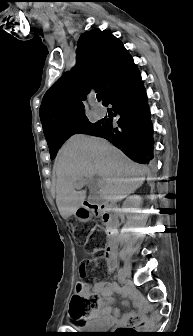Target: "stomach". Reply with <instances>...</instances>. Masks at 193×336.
I'll list each match as a JSON object with an SVG mask.
<instances>
[{
	"label": "stomach",
	"mask_w": 193,
	"mask_h": 336,
	"mask_svg": "<svg viewBox=\"0 0 193 336\" xmlns=\"http://www.w3.org/2000/svg\"><path fill=\"white\" fill-rule=\"evenodd\" d=\"M74 216L78 220L86 222L92 218V211L87 207L81 206L75 211Z\"/></svg>",
	"instance_id": "0dacf381"
}]
</instances>
